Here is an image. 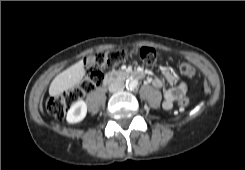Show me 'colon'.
<instances>
[{"label": "colon", "mask_w": 245, "mask_h": 170, "mask_svg": "<svg viewBox=\"0 0 245 170\" xmlns=\"http://www.w3.org/2000/svg\"><path fill=\"white\" fill-rule=\"evenodd\" d=\"M131 56H137L145 65L154 64L159 59V55L151 48H141L137 52H131ZM125 57L126 51L121 49L96 53L87 68L85 77L77 86L46 99L47 111L57 118H62L70 105L102 83V70L119 65ZM179 71L189 78L195 76L196 73L194 66L186 60L179 63ZM188 103L189 100L185 98L178 104L186 106Z\"/></svg>", "instance_id": "obj_1"}]
</instances>
